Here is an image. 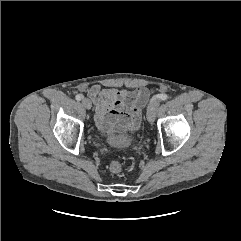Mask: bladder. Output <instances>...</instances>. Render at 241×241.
Returning a JSON list of instances; mask_svg holds the SVG:
<instances>
[{
  "mask_svg": "<svg viewBox=\"0 0 241 241\" xmlns=\"http://www.w3.org/2000/svg\"><path fill=\"white\" fill-rule=\"evenodd\" d=\"M133 142L132 138H123L120 140L112 141V144L116 147L126 148L129 147Z\"/></svg>",
  "mask_w": 241,
  "mask_h": 241,
  "instance_id": "31cf9c89",
  "label": "bladder"
}]
</instances>
